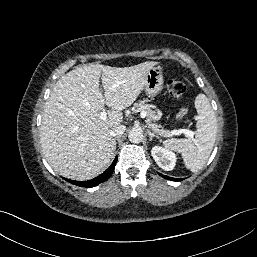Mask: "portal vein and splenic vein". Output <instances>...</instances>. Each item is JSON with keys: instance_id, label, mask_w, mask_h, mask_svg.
Returning <instances> with one entry per match:
<instances>
[{"instance_id": "18ae733b", "label": "portal vein and splenic vein", "mask_w": 257, "mask_h": 257, "mask_svg": "<svg viewBox=\"0 0 257 257\" xmlns=\"http://www.w3.org/2000/svg\"><path fill=\"white\" fill-rule=\"evenodd\" d=\"M99 116H100V119L104 120V119L107 117L106 111L100 112ZM141 117H142V118H145V117H146V113H145V112H142V113H141ZM170 133H171L172 136H173V135H179V134H182V133H183V134H186V135H189V136L192 135V132H191L190 130H188V129L173 130V131H170Z\"/></svg>"}]
</instances>
